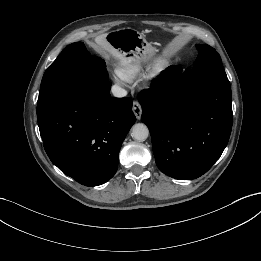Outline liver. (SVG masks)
Returning a JSON list of instances; mask_svg holds the SVG:
<instances>
[{
  "label": "liver",
  "instance_id": "obj_1",
  "mask_svg": "<svg viewBox=\"0 0 261 261\" xmlns=\"http://www.w3.org/2000/svg\"><path fill=\"white\" fill-rule=\"evenodd\" d=\"M107 34H101L97 36L95 41V47L100 51H105L109 53L114 58L120 60L121 62H127L128 60L121 52H119L117 49L113 48L106 40Z\"/></svg>",
  "mask_w": 261,
  "mask_h": 261
}]
</instances>
